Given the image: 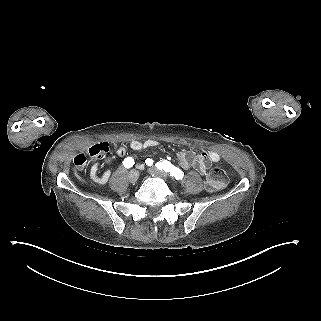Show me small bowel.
Returning a JSON list of instances; mask_svg holds the SVG:
<instances>
[{"label":"small bowel","instance_id":"small-bowel-1","mask_svg":"<svg viewBox=\"0 0 321 321\" xmlns=\"http://www.w3.org/2000/svg\"><path fill=\"white\" fill-rule=\"evenodd\" d=\"M159 142L154 139H147L144 141L132 140L130 142V147L133 150L139 151L146 148H155ZM108 151V143L105 141L96 142L75 156V161L78 158H84L86 163L87 155L93 157H102ZM115 152L118 156H124L126 154V149L124 146L119 145L115 148ZM178 160L180 165L185 169H195L201 174H205L212 162H217L220 160V155L215 151H202L199 154H195L192 151L183 150L178 153ZM108 161H97L93 164L90 171L91 179L98 184H105L110 178V170H105L102 175H99V169L106 164ZM84 163V164H85Z\"/></svg>","mask_w":321,"mask_h":321}]
</instances>
